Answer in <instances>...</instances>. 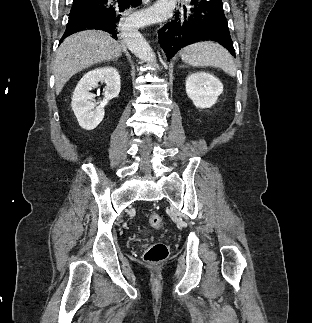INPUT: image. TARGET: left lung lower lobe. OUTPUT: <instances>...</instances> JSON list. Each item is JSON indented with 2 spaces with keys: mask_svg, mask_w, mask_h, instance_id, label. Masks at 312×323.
Returning a JSON list of instances; mask_svg holds the SVG:
<instances>
[{
  "mask_svg": "<svg viewBox=\"0 0 312 323\" xmlns=\"http://www.w3.org/2000/svg\"><path fill=\"white\" fill-rule=\"evenodd\" d=\"M200 41L218 42L235 56L222 0H192L159 32V43L168 59L182 47Z\"/></svg>",
  "mask_w": 312,
  "mask_h": 323,
  "instance_id": "0a47b994",
  "label": "left lung lower lobe"
}]
</instances>
